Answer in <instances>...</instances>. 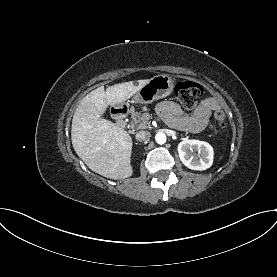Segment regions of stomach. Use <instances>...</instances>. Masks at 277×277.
<instances>
[{"label":"stomach","instance_id":"1","mask_svg":"<svg viewBox=\"0 0 277 277\" xmlns=\"http://www.w3.org/2000/svg\"><path fill=\"white\" fill-rule=\"evenodd\" d=\"M174 87L172 78L168 75H157L149 80L134 96V102L146 104L155 99L168 96Z\"/></svg>","mask_w":277,"mask_h":277}]
</instances>
